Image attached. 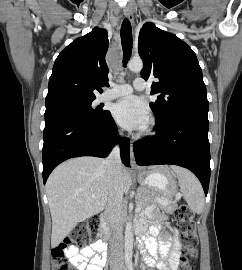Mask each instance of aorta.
I'll use <instances>...</instances> for the list:
<instances>
[{
  "label": "aorta",
  "instance_id": "1",
  "mask_svg": "<svg viewBox=\"0 0 242 270\" xmlns=\"http://www.w3.org/2000/svg\"><path fill=\"white\" fill-rule=\"evenodd\" d=\"M128 68L133 72H140L143 68V62L141 59H132L128 63ZM124 247H125V257L127 259H131L132 257V250H133V242H134V235H133V228L132 222L128 221L126 223L125 229V237H124Z\"/></svg>",
  "mask_w": 242,
  "mask_h": 270
}]
</instances>
